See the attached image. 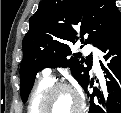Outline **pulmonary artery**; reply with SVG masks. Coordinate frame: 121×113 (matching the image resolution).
<instances>
[{
	"label": "pulmonary artery",
	"instance_id": "obj_1",
	"mask_svg": "<svg viewBox=\"0 0 121 113\" xmlns=\"http://www.w3.org/2000/svg\"><path fill=\"white\" fill-rule=\"evenodd\" d=\"M92 50H94V61H93V69L95 71V73L97 74H101L102 70H101V66L99 63V59H98V51L95 50L92 46H88L85 50V53L88 54L90 53ZM43 74L47 77H51V69L50 68H45L43 69Z\"/></svg>",
	"mask_w": 121,
	"mask_h": 113
}]
</instances>
